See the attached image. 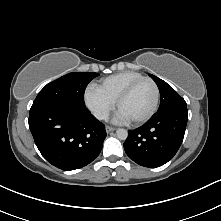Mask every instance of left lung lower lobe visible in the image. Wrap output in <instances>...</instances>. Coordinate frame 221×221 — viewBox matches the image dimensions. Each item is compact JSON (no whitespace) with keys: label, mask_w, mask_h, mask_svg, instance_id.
I'll list each match as a JSON object with an SVG mask.
<instances>
[{"label":"left lung lower lobe","mask_w":221,"mask_h":221,"mask_svg":"<svg viewBox=\"0 0 221 221\" xmlns=\"http://www.w3.org/2000/svg\"><path fill=\"white\" fill-rule=\"evenodd\" d=\"M187 107L174 108L152 118L143 126L128 131L126 154L144 167H159L171 160L185 134Z\"/></svg>","instance_id":"1"}]
</instances>
